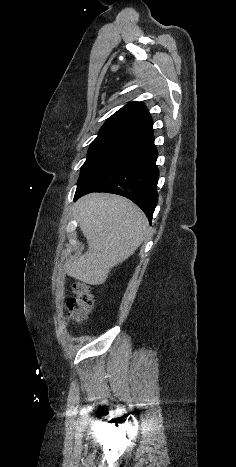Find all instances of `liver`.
Masks as SVG:
<instances>
[{"label":"liver","mask_w":236,"mask_h":467,"mask_svg":"<svg viewBox=\"0 0 236 467\" xmlns=\"http://www.w3.org/2000/svg\"><path fill=\"white\" fill-rule=\"evenodd\" d=\"M75 212L88 251L67 261L65 271L84 283L103 284L110 270L128 259L143 242L148 220L127 198L105 193L80 198Z\"/></svg>","instance_id":"1"}]
</instances>
